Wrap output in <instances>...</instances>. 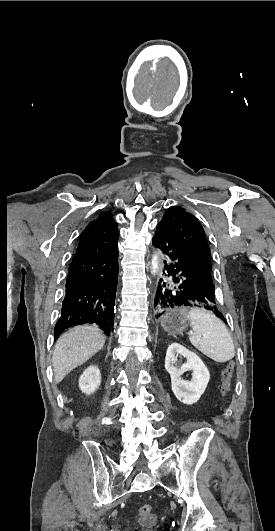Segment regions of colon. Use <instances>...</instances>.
I'll list each match as a JSON object with an SVG mask.
<instances>
[{
	"instance_id": "colon-1",
	"label": "colon",
	"mask_w": 275,
	"mask_h": 531,
	"mask_svg": "<svg viewBox=\"0 0 275 531\" xmlns=\"http://www.w3.org/2000/svg\"><path fill=\"white\" fill-rule=\"evenodd\" d=\"M234 368L235 366L233 363H228L225 369L223 370V381L220 385V392L221 395L224 397V400H227L226 396L229 394L231 389V380ZM137 512L142 517H148L151 514V507L147 504H143L138 507Z\"/></svg>"
}]
</instances>
